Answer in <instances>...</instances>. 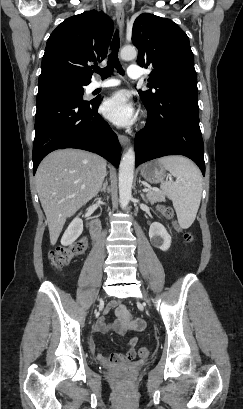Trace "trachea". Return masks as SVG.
<instances>
[{"instance_id":"1","label":"trachea","mask_w":243,"mask_h":409,"mask_svg":"<svg viewBox=\"0 0 243 409\" xmlns=\"http://www.w3.org/2000/svg\"><path fill=\"white\" fill-rule=\"evenodd\" d=\"M119 47H120L119 33L116 30L111 46H110L111 53L108 56L107 66L103 69L101 68L94 69V71L98 73L102 77V79H106L110 77L113 73L114 68L117 69L118 73H120L121 75H124V70L118 59Z\"/></svg>"}]
</instances>
